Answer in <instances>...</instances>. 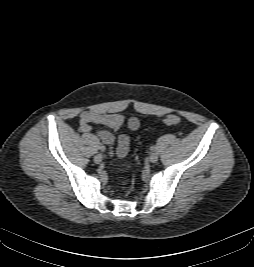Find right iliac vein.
<instances>
[{
  "instance_id": "1",
  "label": "right iliac vein",
  "mask_w": 254,
  "mask_h": 267,
  "mask_svg": "<svg viewBox=\"0 0 254 267\" xmlns=\"http://www.w3.org/2000/svg\"><path fill=\"white\" fill-rule=\"evenodd\" d=\"M103 157L101 154H97L94 156V162L95 163H100L102 161Z\"/></svg>"
}]
</instances>
